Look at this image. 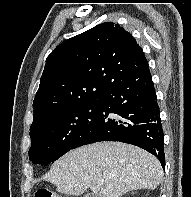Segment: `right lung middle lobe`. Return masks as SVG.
Segmentation results:
<instances>
[{"mask_svg":"<svg viewBox=\"0 0 191 197\" xmlns=\"http://www.w3.org/2000/svg\"><path fill=\"white\" fill-rule=\"evenodd\" d=\"M98 107L97 101L79 104L31 127L30 161L47 165L68 152L97 115Z\"/></svg>","mask_w":191,"mask_h":197,"instance_id":"1","label":"right lung middle lobe"}]
</instances>
